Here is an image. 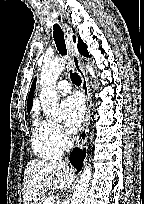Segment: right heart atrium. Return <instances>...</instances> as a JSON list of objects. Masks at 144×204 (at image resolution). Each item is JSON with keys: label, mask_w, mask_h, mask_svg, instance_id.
Returning a JSON list of instances; mask_svg holds the SVG:
<instances>
[{"label": "right heart atrium", "mask_w": 144, "mask_h": 204, "mask_svg": "<svg viewBox=\"0 0 144 204\" xmlns=\"http://www.w3.org/2000/svg\"><path fill=\"white\" fill-rule=\"evenodd\" d=\"M50 132L53 141L56 143L58 147L62 150L67 147L69 144V139L66 132L56 124H50Z\"/></svg>", "instance_id": "1"}]
</instances>
